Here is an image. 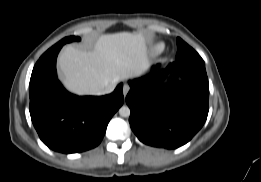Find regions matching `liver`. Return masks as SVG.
<instances>
[{"label": "liver", "mask_w": 261, "mask_h": 182, "mask_svg": "<svg viewBox=\"0 0 261 182\" xmlns=\"http://www.w3.org/2000/svg\"><path fill=\"white\" fill-rule=\"evenodd\" d=\"M64 86L77 95H99L119 81L138 77L150 66L143 34L100 35L92 51L66 46L58 58Z\"/></svg>", "instance_id": "liver-1"}]
</instances>
